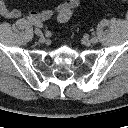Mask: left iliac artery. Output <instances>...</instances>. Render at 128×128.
I'll list each match as a JSON object with an SVG mask.
<instances>
[{"instance_id":"left-iliac-artery-1","label":"left iliac artery","mask_w":128,"mask_h":128,"mask_svg":"<svg viewBox=\"0 0 128 128\" xmlns=\"http://www.w3.org/2000/svg\"><path fill=\"white\" fill-rule=\"evenodd\" d=\"M91 41H92V43H97L98 42V39L96 37H92L91 38Z\"/></svg>"}]
</instances>
